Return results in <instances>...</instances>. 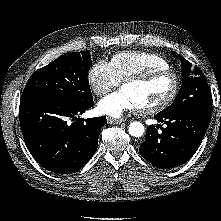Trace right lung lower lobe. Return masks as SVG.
<instances>
[{"mask_svg":"<svg viewBox=\"0 0 221 221\" xmlns=\"http://www.w3.org/2000/svg\"><path fill=\"white\" fill-rule=\"evenodd\" d=\"M92 104L93 101L78 105L37 95L21 98L22 134L31 155L42 167L54 173L71 174L90 160L106 118L85 120L76 115Z\"/></svg>","mask_w":221,"mask_h":221,"instance_id":"obj_1","label":"right lung lower lobe"}]
</instances>
